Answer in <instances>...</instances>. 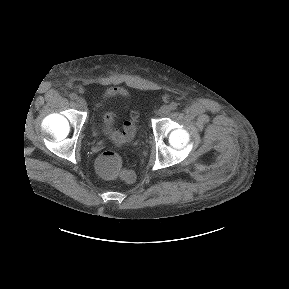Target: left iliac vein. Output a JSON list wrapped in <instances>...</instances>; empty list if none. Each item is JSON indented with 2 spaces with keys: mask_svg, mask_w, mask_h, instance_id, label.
Returning <instances> with one entry per match:
<instances>
[{
  "mask_svg": "<svg viewBox=\"0 0 289 289\" xmlns=\"http://www.w3.org/2000/svg\"><path fill=\"white\" fill-rule=\"evenodd\" d=\"M170 112V107L168 105H163L159 110L158 114L160 116L167 115Z\"/></svg>",
  "mask_w": 289,
  "mask_h": 289,
  "instance_id": "obj_1",
  "label": "left iliac vein"
}]
</instances>
